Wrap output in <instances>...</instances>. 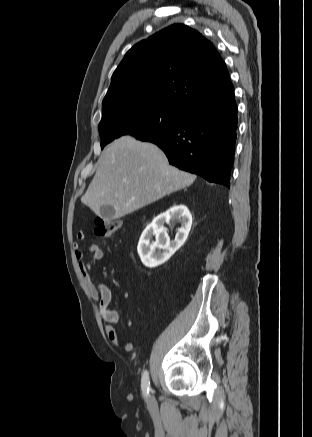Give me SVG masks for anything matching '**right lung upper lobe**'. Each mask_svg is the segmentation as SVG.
<instances>
[{"mask_svg":"<svg viewBox=\"0 0 312 437\" xmlns=\"http://www.w3.org/2000/svg\"><path fill=\"white\" fill-rule=\"evenodd\" d=\"M214 45L183 24L171 25L134 45L111 79L102 116L131 103L161 102L189 109L229 84Z\"/></svg>","mask_w":312,"mask_h":437,"instance_id":"cb5924a9","label":"right lung upper lobe"}]
</instances>
